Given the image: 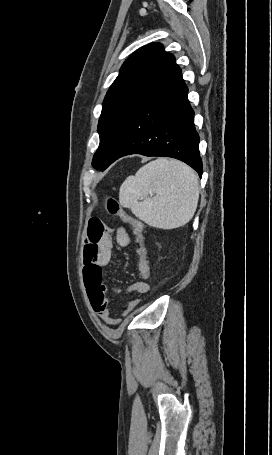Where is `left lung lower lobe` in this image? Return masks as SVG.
<instances>
[{
	"instance_id": "0a47b994",
	"label": "left lung lower lobe",
	"mask_w": 272,
	"mask_h": 455,
	"mask_svg": "<svg viewBox=\"0 0 272 455\" xmlns=\"http://www.w3.org/2000/svg\"><path fill=\"white\" fill-rule=\"evenodd\" d=\"M187 94L188 88L180 73L127 124L100 162L99 169H106L125 155L142 154L179 159L201 177L203 167L199 156V135Z\"/></svg>"
}]
</instances>
